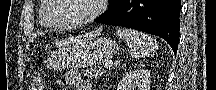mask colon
Instances as JSON below:
<instances>
[{"label":"colon","instance_id":"obj_1","mask_svg":"<svg viewBox=\"0 0 216 90\" xmlns=\"http://www.w3.org/2000/svg\"><path fill=\"white\" fill-rule=\"evenodd\" d=\"M45 85L43 78L40 75H36L31 80L30 90H44Z\"/></svg>","mask_w":216,"mask_h":90}]
</instances>
